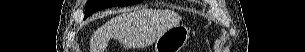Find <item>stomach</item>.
<instances>
[{"label":"stomach","instance_id":"1","mask_svg":"<svg viewBox=\"0 0 305 52\" xmlns=\"http://www.w3.org/2000/svg\"><path fill=\"white\" fill-rule=\"evenodd\" d=\"M190 35L187 26L179 24L162 33L154 42L153 52H180Z\"/></svg>","mask_w":305,"mask_h":52}]
</instances>
